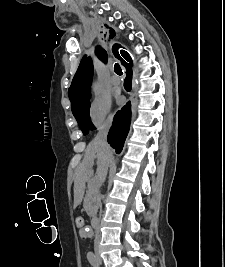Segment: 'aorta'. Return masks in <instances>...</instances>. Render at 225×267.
<instances>
[{
    "mask_svg": "<svg viewBox=\"0 0 225 267\" xmlns=\"http://www.w3.org/2000/svg\"><path fill=\"white\" fill-rule=\"evenodd\" d=\"M95 92H96V94H99L101 91H100L99 88H96V89H95Z\"/></svg>",
    "mask_w": 225,
    "mask_h": 267,
    "instance_id": "aorta-1",
    "label": "aorta"
}]
</instances>
